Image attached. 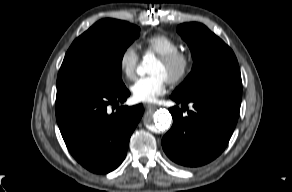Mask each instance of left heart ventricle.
Listing matches in <instances>:
<instances>
[{"label":"left heart ventricle","mask_w":292,"mask_h":192,"mask_svg":"<svg viewBox=\"0 0 292 192\" xmlns=\"http://www.w3.org/2000/svg\"><path fill=\"white\" fill-rule=\"evenodd\" d=\"M149 72L151 74H156V73L162 74L166 78L170 74L169 68L164 63H162L159 59L153 63V65L149 69Z\"/></svg>","instance_id":"1"}]
</instances>
